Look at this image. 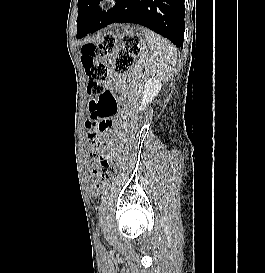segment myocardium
Masks as SVG:
<instances>
[{"label":"myocardium","mask_w":265,"mask_h":273,"mask_svg":"<svg viewBox=\"0 0 265 273\" xmlns=\"http://www.w3.org/2000/svg\"><path fill=\"white\" fill-rule=\"evenodd\" d=\"M116 4V0H101L99 1V3L97 4V11L98 12H107L109 11L111 8H113V6Z\"/></svg>","instance_id":"1"}]
</instances>
